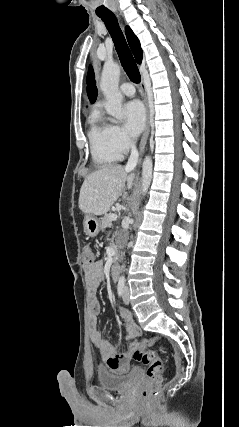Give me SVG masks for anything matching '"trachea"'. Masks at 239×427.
I'll list each match as a JSON object with an SVG mask.
<instances>
[{"label": "trachea", "instance_id": "3493384b", "mask_svg": "<svg viewBox=\"0 0 239 427\" xmlns=\"http://www.w3.org/2000/svg\"><path fill=\"white\" fill-rule=\"evenodd\" d=\"M102 21L105 23L107 30L109 31L121 64L130 78L135 83H140L141 76L134 60V57L127 45L125 37L119 27L116 17L112 15H100Z\"/></svg>", "mask_w": 239, "mask_h": 427}]
</instances>
